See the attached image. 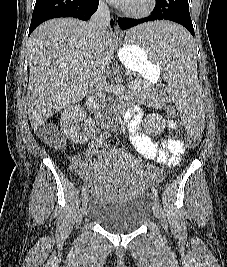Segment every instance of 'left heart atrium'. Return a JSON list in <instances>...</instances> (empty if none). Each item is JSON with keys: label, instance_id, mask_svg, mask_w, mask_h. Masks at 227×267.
<instances>
[{"label": "left heart atrium", "instance_id": "1", "mask_svg": "<svg viewBox=\"0 0 227 267\" xmlns=\"http://www.w3.org/2000/svg\"><path fill=\"white\" fill-rule=\"evenodd\" d=\"M110 2L116 4V5H120V6H128V4L132 1V0H109Z\"/></svg>", "mask_w": 227, "mask_h": 267}]
</instances>
